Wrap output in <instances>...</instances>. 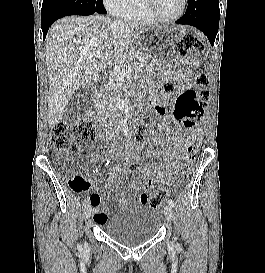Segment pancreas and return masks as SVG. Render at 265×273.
I'll return each mask as SVG.
<instances>
[{
  "instance_id": "1",
  "label": "pancreas",
  "mask_w": 265,
  "mask_h": 273,
  "mask_svg": "<svg viewBox=\"0 0 265 273\" xmlns=\"http://www.w3.org/2000/svg\"><path fill=\"white\" fill-rule=\"evenodd\" d=\"M117 62L121 63L125 68H131L133 73H138L147 64L145 55L141 52L125 53ZM121 87V79L113 74L109 80V84L100 91V99L96 102L97 109L102 111L113 109V102L119 95Z\"/></svg>"
}]
</instances>
